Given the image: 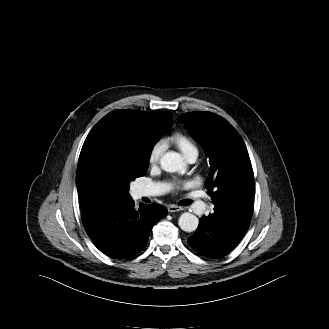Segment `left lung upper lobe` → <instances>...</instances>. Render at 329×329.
I'll list each match as a JSON object with an SVG mask.
<instances>
[{
    "instance_id": "obj_1",
    "label": "left lung upper lobe",
    "mask_w": 329,
    "mask_h": 329,
    "mask_svg": "<svg viewBox=\"0 0 329 329\" xmlns=\"http://www.w3.org/2000/svg\"><path fill=\"white\" fill-rule=\"evenodd\" d=\"M177 120L209 157L206 188L215 206L226 205L252 187L253 170L245 143L228 121L211 112H189Z\"/></svg>"
}]
</instances>
